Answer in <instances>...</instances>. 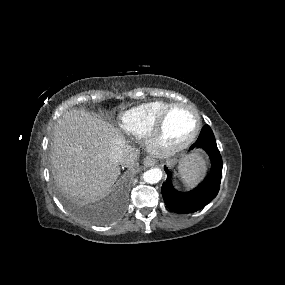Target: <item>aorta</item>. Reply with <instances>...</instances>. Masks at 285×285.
Here are the masks:
<instances>
[{"label": "aorta", "instance_id": "1", "mask_svg": "<svg viewBox=\"0 0 285 285\" xmlns=\"http://www.w3.org/2000/svg\"><path fill=\"white\" fill-rule=\"evenodd\" d=\"M163 176V172L159 168H153L143 173L142 178L146 183L155 184L158 183Z\"/></svg>", "mask_w": 285, "mask_h": 285}]
</instances>
